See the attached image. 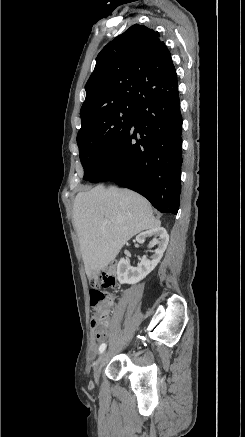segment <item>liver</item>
Returning <instances> with one entry per match:
<instances>
[{
  "label": "liver",
  "instance_id": "liver-1",
  "mask_svg": "<svg viewBox=\"0 0 245 437\" xmlns=\"http://www.w3.org/2000/svg\"><path fill=\"white\" fill-rule=\"evenodd\" d=\"M73 224L88 276L113 261L133 236L161 225L145 198L127 189H106L102 185L77 194Z\"/></svg>",
  "mask_w": 245,
  "mask_h": 437
}]
</instances>
